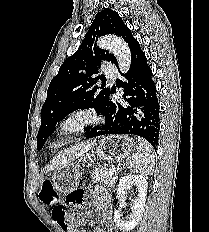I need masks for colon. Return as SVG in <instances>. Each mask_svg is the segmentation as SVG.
<instances>
[{"label": "colon", "instance_id": "1", "mask_svg": "<svg viewBox=\"0 0 209 232\" xmlns=\"http://www.w3.org/2000/svg\"><path fill=\"white\" fill-rule=\"evenodd\" d=\"M39 197L45 205L51 208L53 219L62 228H66L68 225L66 211L64 205L60 201L58 194L55 192L51 181L46 180L43 182Z\"/></svg>", "mask_w": 209, "mask_h": 232}]
</instances>
